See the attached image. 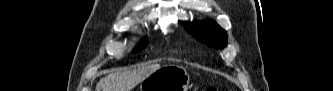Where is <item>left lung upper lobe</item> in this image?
Segmentation results:
<instances>
[{"label": "left lung upper lobe", "mask_w": 333, "mask_h": 91, "mask_svg": "<svg viewBox=\"0 0 333 91\" xmlns=\"http://www.w3.org/2000/svg\"><path fill=\"white\" fill-rule=\"evenodd\" d=\"M184 27L195 38L208 45L224 48L227 44V33L214 21L187 22Z\"/></svg>", "instance_id": "5c2ea615"}]
</instances>
